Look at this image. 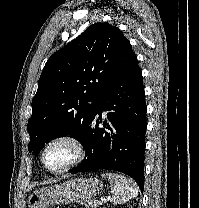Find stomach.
Masks as SVG:
<instances>
[{
  "label": "stomach",
  "mask_w": 199,
  "mask_h": 208,
  "mask_svg": "<svg viewBox=\"0 0 199 208\" xmlns=\"http://www.w3.org/2000/svg\"><path fill=\"white\" fill-rule=\"evenodd\" d=\"M102 182L94 177L75 178L63 183L36 189L28 197L29 208H49L59 203L80 202L101 193Z\"/></svg>",
  "instance_id": "obj_1"
}]
</instances>
